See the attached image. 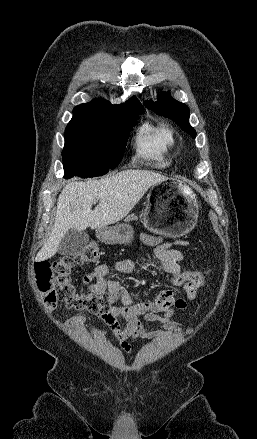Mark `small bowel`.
I'll list each match as a JSON object with an SVG mask.
<instances>
[{"label": "small bowel", "mask_w": 257, "mask_h": 439, "mask_svg": "<svg viewBox=\"0 0 257 439\" xmlns=\"http://www.w3.org/2000/svg\"><path fill=\"white\" fill-rule=\"evenodd\" d=\"M141 240L154 247L157 259L150 263L153 270L163 271L171 278L178 276L182 269L179 262L183 260L181 251L175 246H187L188 241H168L162 236H154L143 233ZM113 271L115 273L131 274L137 271V266L131 261L118 262ZM110 269L105 264L98 265L91 273L85 276L84 281L89 285L91 291L101 292L108 289L115 292L121 288L119 281L111 276ZM185 296L177 298L173 291L163 290L157 296L149 300L136 301L126 293L121 305L112 306L107 313L98 315L101 321L109 328L120 347L129 352L131 349L127 339L137 340L139 338H156L164 340L168 337V331H175L176 325L172 320L174 311L184 310L187 303L192 301L197 294L198 287L184 285ZM159 314H163L159 316ZM125 321V325L121 321ZM82 316H75L67 321L69 328L76 327L82 323ZM144 321H158L164 330L149 329L144 326Z\"/></svg>", "instance_id": "1"}]
</instances>
